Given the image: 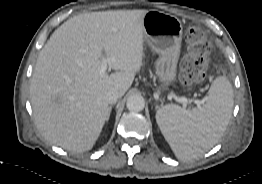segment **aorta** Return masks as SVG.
Masks as SVG:
<instances>
[{
	"instance_id": "obj_1",
	"label": "aorta",
	"mask_w": 262,
	"mask_h": 184,
	"mask_svg": "<svg viewBox=\"0 0 262 184\" xmlns=\"http://www.w3.org/2000/svg\"><path fill=\"white\" fill-rule=\"evenodd\" d=\"M126 107L129 111L140 112L145 107V100L140 95H131L126 102Z\"/></svg>"
}]
</instances>
